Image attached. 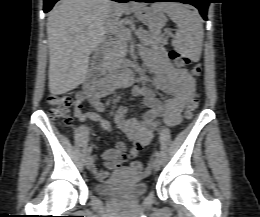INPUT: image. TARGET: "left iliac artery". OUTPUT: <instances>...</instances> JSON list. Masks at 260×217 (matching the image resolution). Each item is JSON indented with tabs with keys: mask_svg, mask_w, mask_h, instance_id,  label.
Listing matches in <instances>:
<instances>
[{
	"mask_svg": "<svg viewBox=\"0 0 260 217\" xmlns=\"http://www.w3.org/2000/svg\"><path fill=\"white\" fill-rule=\"evenodd\" d=\"M155 157L158 158V159L160 158V152L157 151V150L155 151Z\"/></svg>",
	"mask_w": 260,
	"mask_h": 217,
	"instance_id": "obj_1",
	"label": "left iliac artery"
}]
</instances>
